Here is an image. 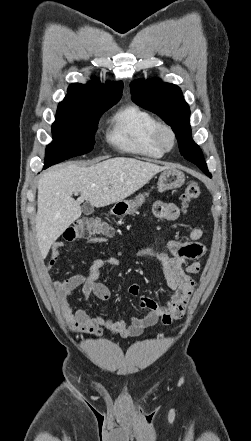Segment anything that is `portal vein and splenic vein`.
Segmentation results:
<instances>
[{"mask_svg":"<svg viewBox=\"0 0 251 441\" xmlns=\"http://www.w3.org/2000/svg\"><path fill=\"white\" fill-rule=\"evenodd\" d=\"M104 189H108L107 187H105ZM78 193H75V195H77Z\"/></svg>","mask_w":251,"mask_h":441,"instance_id":"obj_1","label":"portal vein and splenic vein"}]
</instances>
